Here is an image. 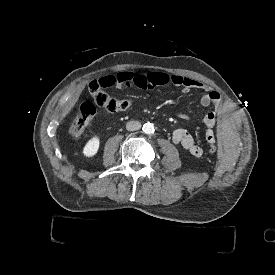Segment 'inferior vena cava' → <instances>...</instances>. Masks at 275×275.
<instances>
[{"label":"inferior vena cava","mask_w":275,"mask_h":275,"mask_svg":"<svg viewBox=\"0 0 275 275\" xmlns=\"http://www.w3.org/2000/svg\"><path fill=\"white\" fill-rule=\"evenodd\" d=\"M141 128V123L139 121H131L126 124V130L136 131Z\"/></svg>","instance_id":"602c4592"}]
</instances>
